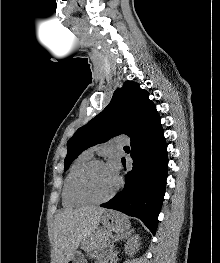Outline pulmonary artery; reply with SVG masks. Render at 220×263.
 <instances>
[{"label": "pulmonary artery", "mask_w": 220, "mask_h": 263, "mask_svg": "<svg viewBox=\"0 0 220 263\" xmlns=\"http://www.w3.org/2000/svg\"><path fill=\"white\" fill-rule=\"evenodd\" d=\"M114 141L117 143V144H121V145H127L129 142H130V139L128 136L126 135H118L114 138ZM100 146H96V147H93V148H90L89 150H87L86 152L90 155L93 154L94 150L98 149Z\"/></svg>", "instance_id": "obj_1"}]
</instances>
